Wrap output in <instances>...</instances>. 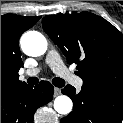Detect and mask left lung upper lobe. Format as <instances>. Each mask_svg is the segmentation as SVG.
Listing matches in <instances>:
<instances>
[{
    "mask_svg": "<svg viewBox=\"0 0 123 123\" xmlns=\"http://www.w3.org/2000/svg\"><path fill=\"white\" fill-rule=\"evenodd\" d=\"M44 31L67 61L77 64L83 85L123 95V35L93 13L50 15Z\"/></svg>",
    "mask_w": 123,
    "mask_h": 123,
    "instance_id": "left-lung-upper-lobe-1",
    "label": "left lung upper lobe"
}]
</instances>
